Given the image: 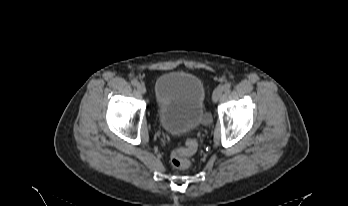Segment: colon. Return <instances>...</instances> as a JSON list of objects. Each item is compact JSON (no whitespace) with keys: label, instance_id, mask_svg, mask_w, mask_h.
Instances as JSON below:
<instances>
[{"label":"colon","instance_id":"colon-1","mask_svg":"<svg viewBox=\"0 0 348 206\" xmlns=\"http://www.w3.org/2000/svg\"><path fill=\"white\" fill-rule=\"evenodd\" d=\"M197 143L187 139L184 145L175 150L170 157L171 165L176 169H186L190 165L189 157L196 151Z\"/></svg>","mask_w":348,"mask_h":206}]
</instances>
